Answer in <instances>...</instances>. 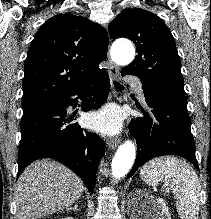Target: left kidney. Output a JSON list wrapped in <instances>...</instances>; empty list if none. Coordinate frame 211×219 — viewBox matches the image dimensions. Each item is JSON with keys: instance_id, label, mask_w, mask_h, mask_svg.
<instances>
[{"instance_id": "left-kidney-1", "label": "left kidney", "mask_w": 211, "mask_h": 219, "mask_svg": "<svg viewBox=\"0 0 211 219\" xmlns=\"http://www.w3.org/2000/svg\"><path fill=\"white\" fill-rule=\"evenodd\" d=\"M144 194L148 196V193L145 191ZM152 201V208L150 212L146 215L147 217H150L151 219H171L170 212L166 206V203L163 199H157L153 200L151 197Z\"/></svg>"}]
</instances>
